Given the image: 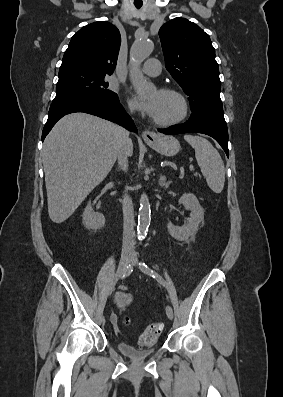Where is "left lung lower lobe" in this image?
<instances>
[{"instance_id": "1", "label": "left lung lower lobe", "mask_w": 283, "mask_h": 397, "mask_svg": "<svg viewBox=\"0 0 283 397\" xmlns=\"http://www.w3.org/2000/svg\"><path fill=\"white\" fill-rule=\"evenodd\" d=\"M163 134L203 133L213 137L224 149L229 157L228 130L223 114L209 110L193 111L188 121L171 126L167 129H158Z\"/></svg>"}]
</instances>
